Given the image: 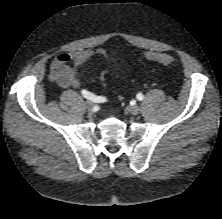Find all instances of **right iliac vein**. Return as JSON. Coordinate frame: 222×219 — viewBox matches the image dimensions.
Here are the masks:
<instances>
[{
    "instance_id": "1",
    "label": "right iliac vein",
    "mask_w": 222,
    "mask_h": 219,
    "mask_svg": "<svg viewBox=\"0 0 222 219\" xmlns=\"http://www.w3.org/2000/svg\"><path fill=\"white\" fill-rule=\"evenodd\" d=\"M95 103L91 100H88L86 101V106L89 108V109H92L94 107Z\"/></svg>"
}]
</instances>
